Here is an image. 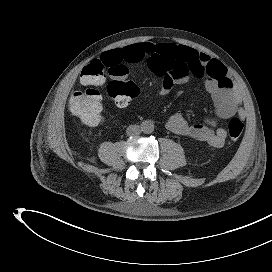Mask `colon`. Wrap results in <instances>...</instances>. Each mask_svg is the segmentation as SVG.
<instances>
[{"instance_id": "5ec220e1", "label": "colon", "mask_w": 272, "mask_h": 272, "mask_svg": "<svg viewBox=\"0 0 272 272\" xmlns=\"http://www.w3.org/2000/svg\"><path fill=\"white\" fill-rule=\"evenodd\" d=\"M106 70L112 77L107 92L116 106L126 107L139 95L138 86L126 79L127 71L124 68H108L97 59L91 61L80 74V82L86 86V89L74 92L69 101L71 114L86 125L96 126L104 121L101 95L97 87L103 83ZM243 128L244 124L240 118L230 119L227 124L229 141H236L240 137Z\"/></svg>"}]
</instances>
